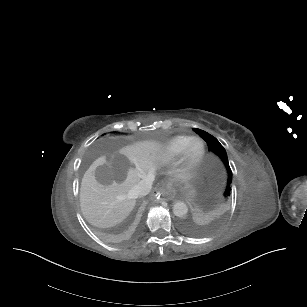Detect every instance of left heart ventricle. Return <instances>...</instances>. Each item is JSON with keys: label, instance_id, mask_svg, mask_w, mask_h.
<instances>
[{"label": "left heart ventricle", "instance_id": "left-heart-ventricle-1", "mask_svg": "<svg viewBox=\"0 0 307 307\" xmlns=\"http://www.w3.org/2000/svg\"><path fill=\"white\" fill-rule=\"evenodd\" d=\"M202 152V145L200 143H195L192 147H191V157L196 158L200 155V153Z\"/></svg>", "mask_w": 307, "mask_h": 307}]
</instances>
